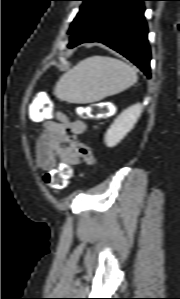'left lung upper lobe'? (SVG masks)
<instances>
[{"mask_svg": "<svg viewBox=\"0 0 180 299\" xmlns=\"http://www.w3.org/2000/svg\"><path fill=\"white\" fill-rule=\"evenodd\" d=\"M83 1L82 6L80 7L79 13L77 14L76 18L73 20L70 29L68 31L69 34H73L77 27L80 25L83 17L90 9V7L95 3L96 0H80Z\"/></svg>", "mask_w": 180, "mask_h": 299, "instance_id": "left-lung-upper-lobe-1", "label": "left lung upper lobe"}]
</instances>
